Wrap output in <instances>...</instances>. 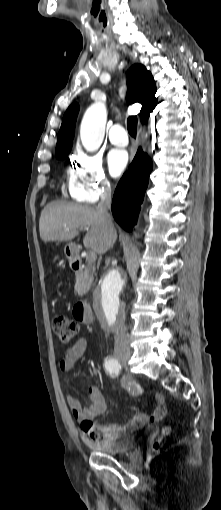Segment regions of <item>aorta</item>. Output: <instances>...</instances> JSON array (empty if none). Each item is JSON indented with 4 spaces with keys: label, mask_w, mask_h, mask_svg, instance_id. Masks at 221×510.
<instances>
[{
    "label": "aorta",
    "mask_w": 221,
    "mask_h": 510,
    "mask_svg": "<svg viewBox=\"0 0 221 510\" xmlns=\"http://www.w3.org/2000/svg\"><path fill=\"white\" fill-rule=\"evenodd\" d=\"M107 121L106 107L102 103L92 104L84 114L80 126V138L87 151H96L104 138ZM125 279L118 269L110 270L95 291L96 311L108 327H115L122 321L123 304L121 295Z\"/></svg>",
    "instance_id": "762f6f07"
}]
</instances>
